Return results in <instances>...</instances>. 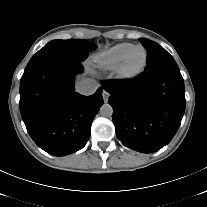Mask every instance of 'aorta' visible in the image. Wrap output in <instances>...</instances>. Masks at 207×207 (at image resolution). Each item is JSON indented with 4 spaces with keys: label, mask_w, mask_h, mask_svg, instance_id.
<instances>
[{
    "label": "aorta",
    "mask_w": 207,
    "mask_h": 207,
    "mask_svg": "<svg viewBox=\"0 0 207 207\" xmlns=\"http://www.w3.org/2000/svg\"><path fill=\"white\" fill-rule=\"evenodd\" d=\"M100 114L103 116V117H111L112 114H113V108L111 105L109 104H103L100 108Z\"/></svg>",
    "instance_id": "aorta-1"
}]
</instances>
